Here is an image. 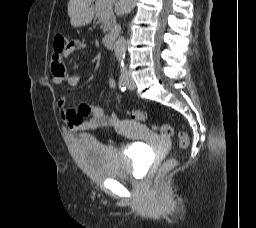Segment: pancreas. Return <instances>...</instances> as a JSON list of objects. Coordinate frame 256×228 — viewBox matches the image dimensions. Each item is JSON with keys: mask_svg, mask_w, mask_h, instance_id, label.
Wrapping results in <instances>:
<instances>
[{"mask_svg": "<svg viewBox=\"0 0 256 228\" xmlns=\"http://www.w3.org/2000/svg\"><path fill=\"white\" fill-rule=\"evenodd\" d=\"M114 0L108 2L107 0H96L94 9L96 18L102 23L103 32L112 29V25L115 24V16L113 12Z\"/></svg>", "mask_w": 256, "mask_h": 228, "instance_id": "pancreas-1", "label": "pancreas"}]
</instances>
